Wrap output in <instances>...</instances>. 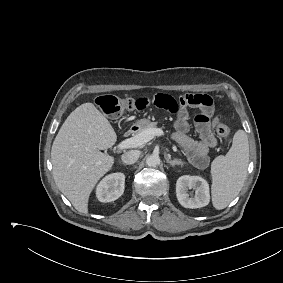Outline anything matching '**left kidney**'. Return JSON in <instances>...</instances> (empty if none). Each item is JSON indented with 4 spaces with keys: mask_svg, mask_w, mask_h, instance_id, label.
Returning <instances> with one entry per match:
<instances>
[{
    "mask_svg": "<svg viewBox=\"0 0 283 283\" xmlns=\"http://www.w3.org/2000/svg\"><path fill=\"white\" fill-rule=\"evenodd\" d=\"M188 189L195 190L194 197L189 196ZM176 196L179 203L185 208H201L209 204V185L200 176L184 175L177 180Z\"/></svg>",
    "mask_w": 283,
    "mask_h": 283,
    "instance_id": "obj_1",
    "label": "left kidney"
}]
</instances>
